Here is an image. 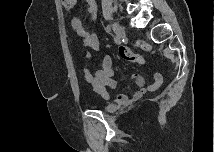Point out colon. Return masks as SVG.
Masks as SVG:
<instances>
[{"label": "colon", "mask_w": 215, "mask_h": 152, "mask_svg": "<svg viewBox=\"0 0 215 152\" xmlns=\"http://www.w3.org/2000/svg\"><path fill=\"white\" fill-rule=\"evenodd\" d=\"M64 7L67 11H73L76 6H77V1L76 0H64ZM135 45L137 47H140L150 53H155L154 49L147 43H145L144 41L141 40H137L135 42ZM119 54L121 57H123L124 59H127L129 61L135 62L139 65H143L145 60L141 55H138L136 53H134L129 46L127 45H121L119 47Z\"/></svg>", "instance_id": "1"}]
</instances>
